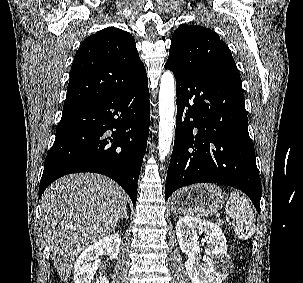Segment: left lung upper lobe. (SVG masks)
<instances>
[{
	"label": "left lung upper lobe",
	"mask_w": 303,
	"mask_h": 283,
	"mask_svg": "<svg viewBox=\"0 0 303 283\" xmlns=\"http://www.w3.org/2000/svg\"><path fill=\"white\" fill-rule=\"evenodd\" d=\"M167 64L189 73L221 71L240 78L225 42L217 33L202 26L184 24L174 31Z\"/></svg>",
	"instance_id": "5c2ea615"
}]
</instances>
